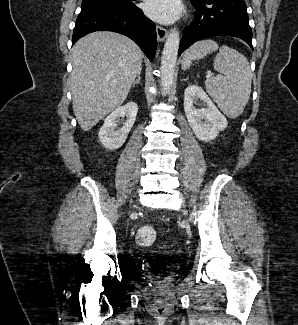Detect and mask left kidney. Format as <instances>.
<instances>
[{
    "instance_id": "1",
    "label": "left kidney",
    "mask_w": 298,
    "mask_h": 325,
    "mask_svg": "<svg viewBox=\"0 0 298 325\" xmlns=\"http://www.w3.org/2000/svg\"><path fill=\"white\" fill-rule=\"evenodd\" d=\"M197 100H202L201 108H196ZM184 112L186 118L193 128L196 138L199 140H213L220 130H225L228 120L202 86L188 84L184 90Z\"/></svg>"
}]
</instances>
